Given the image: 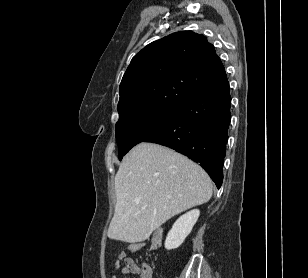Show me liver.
I'll return each mask as SVG.
<instances>
[{
    "mask_svg": "<svg viewBox=\"0 0 308 278\" xmlns=\"http://www.w3.org/2000/svg\"><path fill=\"white\" fill-rule=\"evenodd\" d=\"M116 206L108 237L148 239L171 217L208 202L212 183L196 163L174 150L142 142L123 158L115 176Z\"/></svg>",
    "mask_w": 308,
    "mask_h": 278,
    "instance_id": "1",
    "label": "liver"
}]
</instances>
